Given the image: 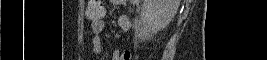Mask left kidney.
Segmentation results:
<instances>
[{
    "mask_svg": "<svg viewBox=\"0 0 267 60\" xmlns=\"http://www.w3.org/2000/svg\"><path fill=\"white\" fill-rule=\"evenodd\" d=\"M179 0H146L142 5L141 17L152 31L164 29L174 18Z\"/></svg>",
    "mask_w": 267,
    "mask_h": 60,
    "instance_id": "1",
    "label": "left kidney"
}]
</instances>
